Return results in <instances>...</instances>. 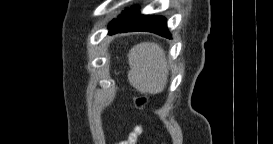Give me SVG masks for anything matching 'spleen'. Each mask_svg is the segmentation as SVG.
Here are the masks:
<instances>
[{"label": "spleen", "mask_w": 273, "mask_h": 144, "mask_svg": "<svg viewBox=\"0 0 273 144\" xmlns=\"http://www.w3.org/2000/svg\"><path fill=\"white\" fill-rule=\"evenodd\" d=\"M129 83L138 91L161 93L168 79L165 52L157 43L142 42L131 48L128 54Z\"/></svg>", "instance_id": "spleen-1"}]
</instances>
